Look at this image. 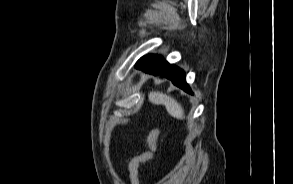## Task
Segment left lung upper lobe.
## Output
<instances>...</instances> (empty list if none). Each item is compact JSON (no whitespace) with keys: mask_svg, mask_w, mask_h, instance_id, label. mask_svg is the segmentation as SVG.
<instances>
[{"mask_svg":"<svg viewBox=\"0 0 293 184\" xmlns=\"http://www.w3.org/2000/svg\"><path fill=\"white\" fill-rule=\"evenodd\" d=\"M143 58H145V57H143ZM143 58H141L139 61H141ZM139 61H138V62H139Z\"/></svg>","mask_w":293,"mask_h":184,"instance_id":"1","label":"left lung upper lobe"}]
</instances>
